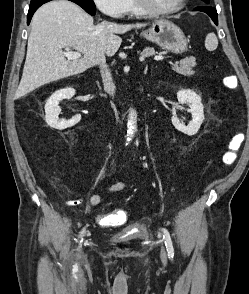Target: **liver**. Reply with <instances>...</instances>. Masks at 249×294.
<instances>
[{
  "label": "liver",
  "instance_id": "obj_1",
  "mask_svg": "<svg viewBox=\"0 0 249 294\" xmlns=\"http://www.w3.org/2000/svg\"><path fill=\"white\" fill-rule=\"evenodd\" d=\"M144 26L106 21L94 25L93 18L73 2L57 0L44 4L32 18L25 65L15 97L100 65L105 55L111 57L118 51L122 39L117 34ZM63 48H73L83 57L66 59Z\"/></svg>",
  "mask_w": 249,
  "mask_h": 294
}]
</instances>
